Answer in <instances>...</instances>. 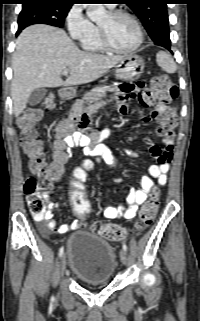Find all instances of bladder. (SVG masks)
<instances>
[{
    "label": "bladder",
    "mask_w": 200,
    "mask_h": 321,
    "mask_svg": "<svg viewBox=\"0 0 200 321\" xmlns=\"http://www.w3.org/2000/svg\"><path fill=\"white\" fill-rule=\"evenodd\" d=\"M71 272L87 284L108 283L116 270V254L103 238L86 231H76L66 242Z\"/></svg>",
    "instance_id": "obj_1"
}]
</instances>
